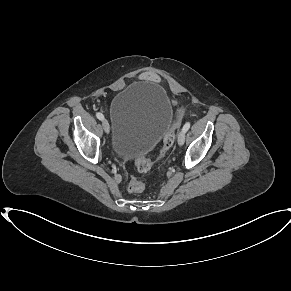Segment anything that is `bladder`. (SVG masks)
<instances>
[{
    "label": "bladder",
    "mask_w": 291,
    "mask_h": 291,
    "mask_svg": "<svg viewBox=\"0 0 291 291\" xmlns=\"http://www.w3.org/2000/svg\"><path fill=\"white\" fill-rule=\"evenodd\" d=\"M173 107L164 89L136 82L119 92L110 106L111 147L120 158L146 155L169 129Z\"/></svg>",
    "instance_id": "bladder-1"
}]
</instances>
